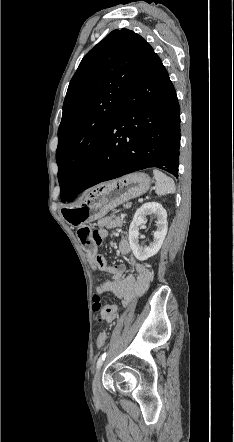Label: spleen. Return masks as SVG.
Instances as JSON below:
<instances>
[{
  "mask_svg": "<svg viewBox=\"0 0 234 442\" xmlns=\"http://www.w3.org/2000/svg\"><path fill=\"white\" fill-rule=\"evenodd\" d=\"M153 174L156 180V194L166 195L175 193V183L172 178L158 169L153 170Z\"/></svg>",
  "mask_w": 234,
  "mask_h": 442,
  "instance_id": "3e777b00",
  "label": "spleen"
}]
</instances>
